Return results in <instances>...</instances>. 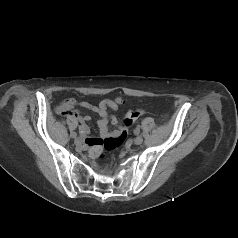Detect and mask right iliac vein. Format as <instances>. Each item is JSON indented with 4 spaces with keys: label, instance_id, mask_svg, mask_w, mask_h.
Listing matches in <instances>:
<instances>
[{
    "label": "right iliac vein",
    "instance_id": "63e3f726",
    "mask_svg": "<svg viewBox=\"0 0 238 238\" xmlns=\"http://www.w3.org/2000/svg\"><path fill=\"white\" fill-rule=\"evenodd\" d=\"M75 144H76L77 146H81V145H82V140H81V138H76V139H75Z\"/></svg>",
    "mask_w": 238,
    "mask_h": 238
}]
</instances>
